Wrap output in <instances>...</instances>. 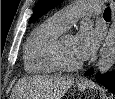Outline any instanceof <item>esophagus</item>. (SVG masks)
Wrapping results in <instances>:
<instances>
[{
  "mask_svg": "<svg viewBox=\"0 0 115 99\" xmlns=\"http://www.w3.org/2000/svg\"><path fill=\"white\" fill-rule=\"evenodd\" d=\"M110 6H111V12H112V19H113L114 18V11H115V6H114V2L113 1L110 2ZM80 82L81 83H87V80L81 79Z\"/></svg>",
  "mask_w": 115,
  "mask_h": 99,
  "instance_id": "obj_1",
  "label": "esophagus"
}]
</instances>
